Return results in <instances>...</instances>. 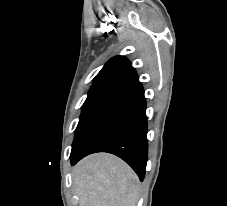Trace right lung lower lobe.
Masks as SVG:
<instances>
[{"instance_id":"right-lung-lower-lobe-1","label":"right lung lower lobe","mask_w":227,"mask_h":206,"mask_svg":"<svg viewBox=\"0 0 227 206\" xmlns=\"http://www.w3.org/2000/svg\"><path fill=\"white\" fill-rule=\"evenodd\" d=\"M95 152H108L122 158L143 181L148 142L146 99L139 80L130 84L129 90L99 116L71 153V164Z\"/></svg>"}]
</instances>
